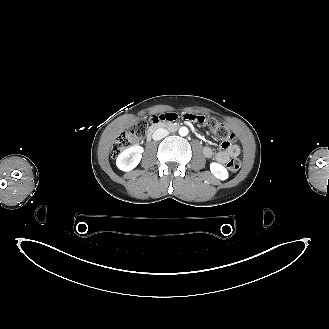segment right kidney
I'll list each match as a JSON object with an SVG mask.
<instances>
[{
  "label": "right kidney",
  "mask_w": 329,
  "mask_h": 329,
  "mask_svg": "<svg viewBox=\"0 0 329 329\" xmlns=\"http://www.w3.org/2000/svg\"><path fill=\"white\" fill-rule=\"evenodd\" d=\"M144 152L143 147L135 145L125 149L120 153L116 160L117 167L125 172L133 170L140 162L142 153Z\"/></svg>",
  "instance_id": "ca27d5eb"
}]
</instances>
